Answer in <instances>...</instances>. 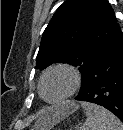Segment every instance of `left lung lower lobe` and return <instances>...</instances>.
I'll return each mask as SVG.
<instances>
[{"label": "left lung lower lobe", "instance_id": "0a47b994", "mask_svg": "<svg viewBox=\"0 0 123 130\" xmlns=\"http://www.w3.org/2000/svg\"><path fill=\"white\" fill-rule=\"evenodd\" d=\"M75 99L104 106L123 122L122 32L95 59Z\"/></svg>", "mask_w": 123, "mask_h": 130}]
</instances>
